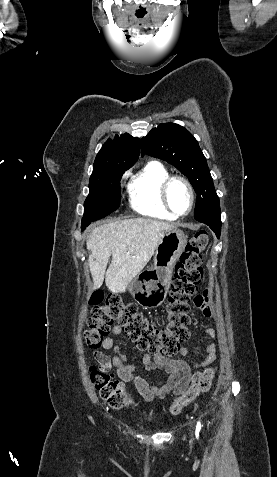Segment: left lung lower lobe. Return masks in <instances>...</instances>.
Wrapping results in <instances>:
<instances>
[{
    "label": "left lung lower lobe",
    "mask_w": 277,
    "mask_h": 477,
    "mask_svg": "<svg viewBox=\"0 0 277 477\" xmlns=\"http://www.w3.org/2000/svg\"><path fill=\"white\" fill-rule=\"evenodd\" d=\"M199 222L207 224L215 232L217 238L220 237V232H221L220 215L207 217V218L199 220Z\"/></svg>",
    "instance_id": "0a47b994"
}]
</instances>
